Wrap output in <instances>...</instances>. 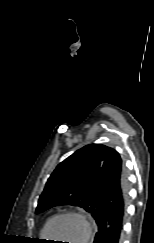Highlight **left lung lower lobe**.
Instances as JSON below:
<instances>
[{"label":"left lung lower lobe","instance_id":"obj_1","mask_svg":"<svg viewBox=\"0 0 154 243\" xmlns=\"http://www.w3.org/2000/svg\"><path fill=\"white\" fill-rule=\"evenodd\" d=\"M91 199L100 212L93 243H120L127 200V177L119 154L112 149L106 156L91 188Z\"/></svg>","mask_w":154,"mask_h":243}]
</instances>
